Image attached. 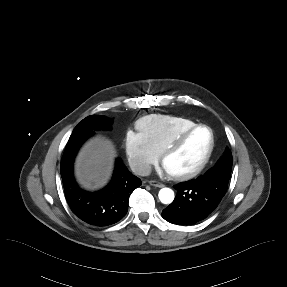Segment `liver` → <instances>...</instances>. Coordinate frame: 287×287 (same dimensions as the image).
<instances>
[{
    "label": "liver",
    "mask_w": 287,
    "mask_h": 287,
    "mask_svg": "<svg viewBox=\"0 0 287 287\" xmlns=\"http://www.w3.org/2000/svg\"><path fill=\"white\" fill-rule=\"evenodd\" d=\"M115 156L116 150L110 140L99 136L88 141L75 163L79 183L88 189L104 186L111 175Z\"/></svg>",
    "instance_id": "1"
}]
</instances>
